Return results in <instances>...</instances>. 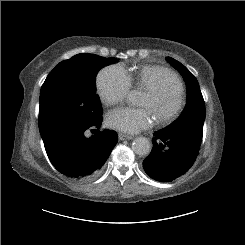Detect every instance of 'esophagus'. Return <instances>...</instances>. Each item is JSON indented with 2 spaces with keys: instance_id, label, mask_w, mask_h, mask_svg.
Segmentation results:
<instances>
[{
  "instance_id": "1",
  "label": "esophagus",
  "mask_w": 245,
  "mask_h": 245,
  "mask_svg": "<svg viewBox=\"0 0 245 245\" xmlns=\"http://www.w3.org/2000/svg\"><path fill=\"white\" fill-rule=\"evenodd\" d=\"M118 138H119V140H131V139H133L134 137L131 136V135L119 133V134H118Z\"/></svg>"
}]
</instances>
